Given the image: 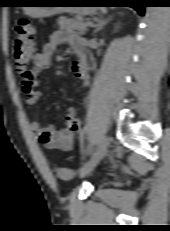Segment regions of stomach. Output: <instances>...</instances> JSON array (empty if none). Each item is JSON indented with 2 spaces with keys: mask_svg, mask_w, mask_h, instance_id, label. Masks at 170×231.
Returning <instances> with one entry per match:
<instances>
[{
  "mask_svg": "<svg viewBox=\"0 0 170 231\" xmlns=\"http://www.w3.org/2000/svg\"><path fill=\"white\" fill-rule=\"evenodd\" d=\"M63 0H38L27 2L29 4H64ZM24 12L33 18L51 17L58 13L68 12L79 15L90 14L94 11L93 7H23Z\"/></svg>",
  "mask_w": 170,
  "mask_h": 231,
  "instance_id": "stomach-1",
  "label": "stomach"
}]
</instances>
